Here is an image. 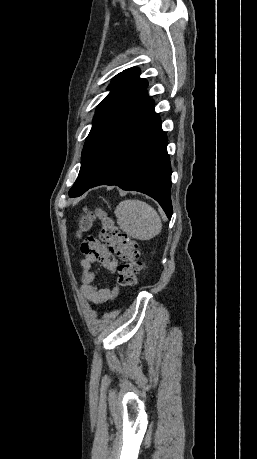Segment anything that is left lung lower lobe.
I'll list each match as a JSON object with an SVG mask.
<instances>
[{"mask_svg":"<svg viewBox=\"0 0 257 459\" xmlns=\"http://www.w3.org/2000/svg\"><path fill=\"white\" fill-rule=\"evenodd\" d=\"M166 147L167 137L154 102L143 92L106 133L100 167L89 188L117 185L145 193L158 201L170 219L171 166Z\"/></svg>","mask_w":257,"mask_h":459,"instance_id":"obj_1","label":"left lung lower lobe"}]
</instances>
